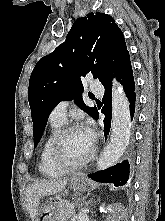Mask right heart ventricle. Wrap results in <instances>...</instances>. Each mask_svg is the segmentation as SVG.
Returning <instances> with one entry per match:
<instances>
[{
    "mask_svg": "<svg viewBox=\"0 0 165 221\" xmlns=\"http://www.w3.org/2000/svg\"><path fill=\"white\" fill-rule=\"evenodd\" d=\"M63 123L51 122L47 136L43 142L38 168L42 175L46 177H58L63 175L66 171L58 169L51 159V145L57 132L62 128Z\"/></svg>",
    "mask_w": 165,
    "mask_h": 221,
    "instance_id": "obj_1",
    "label": "right heart ventricle"
}]
</instances>
